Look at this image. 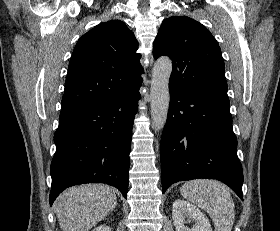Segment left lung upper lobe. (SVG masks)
<instances>
[{
  "mask_svg": "<svg viewBox=\"0 0 280 231\" xmlns=\"http://www.w3.org/2000/svg\"><path fill=\"white\" fill-rule=\"evenodd\" d=\"M162 55L169 56L173 64L169 87L228 100L221 50L202 24L185 16L165 19L153 47L155 59Z\"/></svg>",
  "mask_w": 280,
  "mask_h": 231,
  "instance_id": "5c2ea615",
  "label": "left lung upper lobe"
}]
</instances>
